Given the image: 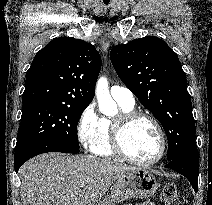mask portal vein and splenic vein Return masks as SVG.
I'll return each instance as SVG.
<instances>
[{
    "label": "portal vein and splenic vein",
    "instance_id": "1",
    "mask_svg": "<svg viewBox=\"0 0 212 205\" xmlns=\"http://www.w3.org/2000/svg\"><path fill=\"white\" fill-rule=\"evenodd\" d=\"M85 185H86V182H82L81 184H80V186L83 188V187H85Z\"/></svg>",
    "mask_w": 212,
    "mask_h": 205
}]
</instances>
